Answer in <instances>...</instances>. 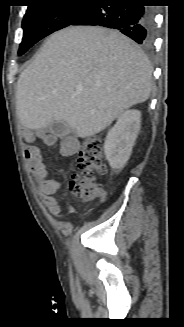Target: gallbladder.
<instances>
[{"label": "gallbladder", "mask_w": 184, "mask_h": 327, "mask_svg": "<svg viewBox=\"0 0 184 327\" xmlns=\"http://www.w3.org/2000/svg\"><path fill=\"white\" fill-rule=\"evenodd\" d=\"M70 131L71 128L65 121H55L49 126V132L57 137L66 136Z\"/></svg>", "instance_id": "bac80fb5"}]
</instances>
